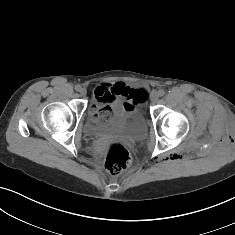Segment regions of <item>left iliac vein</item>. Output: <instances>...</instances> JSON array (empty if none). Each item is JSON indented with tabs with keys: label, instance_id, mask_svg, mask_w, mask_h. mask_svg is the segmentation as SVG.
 I'll return each mask as SVG.
<instances>
[{
	"label": "left iliac vein",
	"instance_id": "obj_1",
	"mask_svg": "<svg viewBox=\"0 0 235 235\" xmlns=\"http://www.w3.org/2000/svg\"><path fill=\"white\" fill-rule=\"evenodd\" d=\"M158 93L157 92H152L150 95V100L152 103H156L158 101Z\"/></svg>",
	"mask_w": 235,
	"mask_h": 235
}]
</instances>
